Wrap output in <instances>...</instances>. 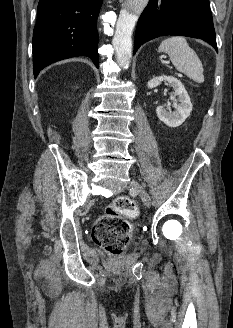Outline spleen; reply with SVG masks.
<instances>
[{
	"label": "spleen",
	"instance_id": "spleen-1",
	"mask_svg": "<svg viewBox=\"0 0 233 328\" xmlns=\"http://www.w3.org/2000/svg\"><path fill=\"white\" fill-rule=\"evenodd\" d=\"M158 50L168 54L176 70L184 73L197 83L204 82L202 63L187 43L185 37H169L162 41Z\"/></svg>",
	"mask_w": 233,
	"mask_h": 328
}]
</instances>
